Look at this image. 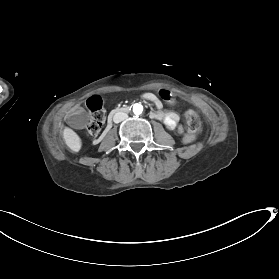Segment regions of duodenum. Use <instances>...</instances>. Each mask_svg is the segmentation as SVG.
<instances>
[{
	"label": "duodenum",
	"instance_id": "410a0bca",
	"mask_svg": "<svg viewBox=\"0 0 279 279\" xmlns=\"http://www.w3.org/2000/svg\"><path fill=\"white\" fill-rule=\"evenodd\" d=\"M131 113V108L125 107V108H117V109H112V113L108 112V114L106 115V126H104V131H101V134H98L97 137H95V142L94 145H98V143L102 142V140L104 139V136H106V133H108L109 128L112 127V118L113 115H118V113Z\"/></svg>",
	"mask_w": 279,
	"mask_h": 279
}]
</instances>
